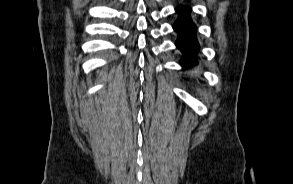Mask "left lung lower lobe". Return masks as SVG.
<instances>
[{
    "label": "left lung lower lobe",
    "mask_w": 293,
    "mask_h": 184,
    "mask_svg": "<svg viewBox=\"0 0 293 184\" xmlns=\"http://www.w3.org/2000/svg\"><path fill=\"white\" fill-rule=\"evenodd\" d=\"M176 11L180 13V17L173 25L174 30L179 34L176 46L184 54L183 67L188 68L196 63L195 56L199 51V44L196 40V27L189 17L191 11L189 7L179 6Z\"/></svg>",
    "instance_id": "1"
}]
</instances>
